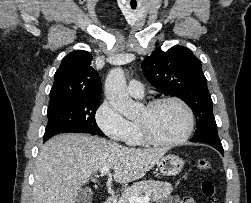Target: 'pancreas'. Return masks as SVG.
Instances as JSON below:
<instances>
[{"mask_svg":"<svg viewBox=\"0 0 251 203\" xmlns=\"http://www.w3.org/2000/svg\"><path fill=\"white\" fill-rule=\"evenodd\" d=\"M173 190L171 184L162 181L144 180L134 183L126 188L117 203H129V197L142 195L151 197V201H157L169 195Z\"/></svg>","mask_w":251,"mask_h":203,"instance_id":"obj_1","label":"pancreas"}]
</instances>
